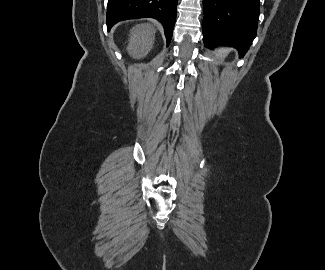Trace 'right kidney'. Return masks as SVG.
Returning <instances> with one entry per match:
<instances>
[{
  "label": "right kidney",
  "instance_id": "right-kidney-1",
  "mask_svg": "<svg viewBox=\"0 0 325 270\" xmlns=\"http://www.w3.org/2000/svg\"><path fill=\"white\" fill-rule=\"evenodd\" d=\"M155 29L150 24L136 25L132 29L127 47L129 54L137 59L145 57L154 44Z\"/></svg>",
  "mask_w": 325,
  "mask_h": 270
}]
</instances>
